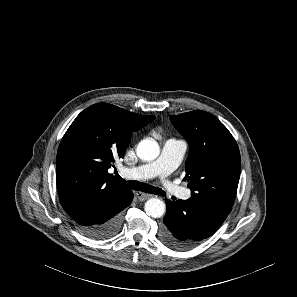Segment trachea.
Listing matches in <instances>:
<instances>
[{"mask_svg": "<svg viewBox=\"0 0 297 297\" xmlns=\"http://www.w3.org/2000/svg\"><path fill=\"white\" fill-rule=\"evenodd\" d=\"M115 178L118 179L124 186L129 187L134 190H142L147 193H152L160 196H166V193L159 188L153 187L151 185H148L146 183H141L139 181H125L120 177L119 174L115 175Z\"/></svg>", "mask_w": 297, "mask_h": 297, "instance_id": "obj_1", "label": "trachea"}]
</instances>
